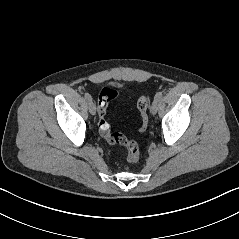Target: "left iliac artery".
<instances>
[{"label":"left iliac artery","mask_w":239,"mask_h":239,"mask_svg":"<svg viewBox=\"0 0 239 239\" xmlns=\"http://www.w3.org/2000/svg\"><path fill=\"white\" fill-rule=\"evenodd\" d=\"M162 92L161 91H159V92H157L156 93V95H155V97H154V99H157V100H159V99H161V97H162Z\"/></svg>","instance_id":"left-iliac-artery-1"}]
</instances>
